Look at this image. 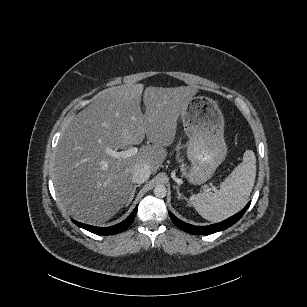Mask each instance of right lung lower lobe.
<instances>
[{"instance_id": "right-lung-lower-lobe-1", "label": "right lung lower lobe", "mask_w": 307, "mask_h": 307, "mask_svg": "<svg viewBox=\"0 0 307 307\" xmlns=\"http://www.w3.org/2000/svg\"><path fill=\"white\" fill-rule=\"evenodd\" d=\"M137 208L136 207L133 212L124 220L122 221L121 223L119 224H116L114 226H111V227H95V226H91V225H86V224H82V223H79L77 221H74L73 222L78 225L79 227H82L92 233H95V234H99V235H113V234H117V233H120L124 230H126L133 222L135 216H136V213H137Z\"/></svg>"}]
</instances>
